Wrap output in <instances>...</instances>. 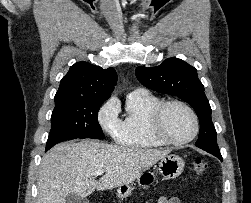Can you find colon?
<instances>
[{
  "mask_svg": "<svg viewBox=\"0 0 251 203\" xmlns=\"http://www.w3.org/2000/svg\"><path fill=\"white\" fill-rule=\"evenodd\" d=\"M208 168L207 162L202 158H196L193 162V169L196 173H204Z\"/></svg>",
  "mask_w": 251,
  "mask_h": 203,
  "instance_id": "1",
  "label": "colon"
}]
</instances>
